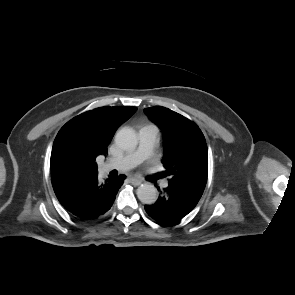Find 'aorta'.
Returning <instances> with one entry per match:
<instances>
[{"instance_id":"obj_1","label":"aorta","mask_w":295,"mask_h":295,"mask_svg":"<svg viewBox=\"0 0 295 295\" xmlns=\"http://www.w3.org/2000/svg\"><path fill=\"white\" fill-rule=\"evenodd\" d=\"M115 143L123 150H133L138 144L137 135L131 128H122L116 133ZM137 197L144 204H153L158 197L157 189L151 183H143L137 189Z\"/></svg>"}]
</instances>
